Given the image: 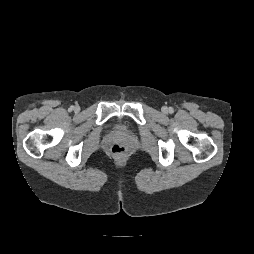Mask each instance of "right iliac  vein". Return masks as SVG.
Segmentation results:
<instances>
[{
	"label": "right iliac vein",
	"mask_w": 254,
	"mask_h": 254,
	"mask_svg": "<svg viewBox=\"0 0 254 254\" xmlns=\"http://www.w3.org/2000/svg\"><path fill=\"white\" fill-rule=\"evenodd\" d=\"M79 110H80V108H79L78 106H76V107H75V111L78 112Z\"/></svg>",
	"instance_id": "right-iliac-vein-1"
}]
</instances>
